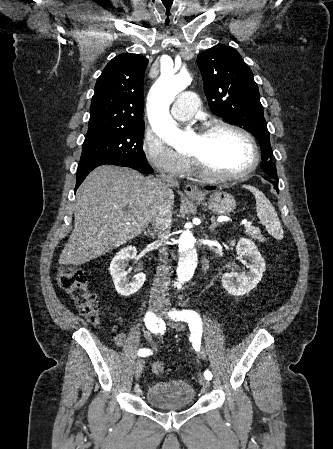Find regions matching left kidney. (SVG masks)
Masks as SVG:
<instances>
[{
    "mask_svg": "<svg viewBox=\"0 0 333 449\" xmlns=\"http://www.w3.org/2000/svg\"><path fill=\"white\" fill-rule=\"evenodd\" d=\"M232 245L234 242L231 243ZM238 258L249 259L247 274H237L236 272H226L222 276V284L225 290L232 295L242 296L250 292L257 286L265 271V262L255 243L247 238H240L236 245Z\"/></svg>",
    "mask_w": 333,
    "mask_h": 449,
    "instance_id": "left-kidney-1",
    "label": "left kidney"
}]
</instances>
